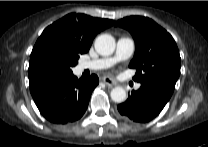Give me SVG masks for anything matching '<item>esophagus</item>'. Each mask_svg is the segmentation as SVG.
<instances>
[{
  "label": "esophagus",
  "instance_id": "obj_1",
  "mask_svg": "<svg viewBox=\"0 0 208 147\" xmlns=\"http://www.w3.org/2000/svg\"><path fill=\"white\" fill-rule=\"evenodd\" d=\"M102 81L109 87H113L117 85L116 81L110 77H103Z\"/></svg>",
  "mask_w": 208,
  "mask_h": 147
}]
</instances>
